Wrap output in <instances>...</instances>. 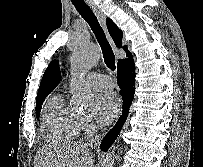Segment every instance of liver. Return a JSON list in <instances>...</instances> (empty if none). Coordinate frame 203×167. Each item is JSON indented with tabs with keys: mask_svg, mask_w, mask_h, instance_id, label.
Here are the masks:
<instances>
[{
	"mask_svg": "<svg viewBox=\"0 0 203 167\" xmlns=\"http://www.w3.org/2000/svg\"><path fill=\"white\" fill-rule=\"evenodd\" d=\"M35 160V167H96L86 143L45 147Z\"/></svg>",
	"mask_w": 203,
	"mask_h": 167,
	"instance_id": "1",
	"label": "liver"
}]
</instances>
